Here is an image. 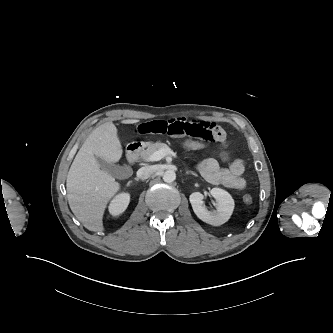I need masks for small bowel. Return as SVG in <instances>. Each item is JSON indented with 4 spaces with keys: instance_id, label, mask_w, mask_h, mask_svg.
<instances>
[{
    "instance_id": "c3829d8e",
    "label": "small bowel",
    "mask_w": 333,
    "mask_h": 333,
    "mask_svg": "<svg viewBox=\"0 0 333 333\" xmlns=\"http://www.w3.org/2000/svg\"><path fill=\"white\" fill-rule=\"evenodd\" d=\"M134 132L140 135L164 134L172 138L191 137L227 146L225 131L214 122L190 120L183 117L156 119L138 124ZM201 175L211 184L242 190L246 186L243 177L245 166L241 159H235L229 167H221L214 158H207L198 165Z\"/></svg>"
}]
</instances>
